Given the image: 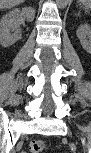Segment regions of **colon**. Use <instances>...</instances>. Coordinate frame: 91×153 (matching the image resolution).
I'll return each instance as SVG.
<instances>
[{"label":"colon","instance_id":"obj_1","mask_svg":"<svg viewBox=\"0 0 91 153\" xmlns=\"http://www.w3.org/2000/svg\"><path fill=\"white\" fill-rule=\"evenodd\" d=\"M49 148V143L45 139H34L30 143V151L32 153H43Z\"/></svg>","mask_w":91,"mask_h":153}]
</instances>
